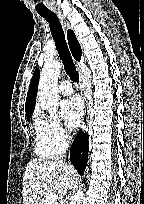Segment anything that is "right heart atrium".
I'll return each mask as SVG.
<instances>
[{"instance_id": "obj_1", "label": "right heart atrium", "mask_w": 144, "mask_h": 204, "mask_svg": "<svg viewBox=\"0 0 144 204\" xmlns=\"http://www.w3.org/2000/svg\"><path fill=\"white\" fill-rule=\"evenodd\" d=\"M40 119L47 140L58 151H64L70 141V134L68 130L56 119L48 117H42Z\"/></svg>"}]
</instances>
